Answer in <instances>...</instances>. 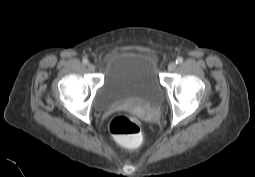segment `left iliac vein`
I'll use <instances>...</instances> for the list:
<instances>
[{"label":"left iliac vein","mask_w":255,"mask_h":177,"mask_svg":"<svg viewBox=\"0 0 255 177\" xmlns=\"http://www.w3.org/2000/svg\"><path fill=\"white\" fill-rule=\"evenodd\" d=\"M176 63L175 62H171L169 65H168V70L169 71H174L176 69Z\"/></svg>","instance_id":"4c4485c4"}]
</instances>
